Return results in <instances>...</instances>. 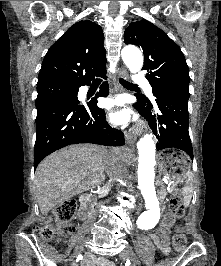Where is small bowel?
Wrapping results in <instances>:
<instances>
[{
    "label": "small bowel",
    "mask_w": 221,
    "mask_h": 266,
    "mask_svg": "<svg viewBox=\"0 0 221 266\" xmlns=\"http://www.w3.org/2000/svg\"><path fill=\"white\" fill-rule=\"evenodd\" d=\"M177 231H181V228L178 227L177 228ZM151 239L155 242L157 248L160 250V252H162L163 254H167L169 252V247H168V244L167 242H160L157 235L155 234H152L151 236ZM86 266H115L114 263L107 259V258H89L87 261H86Z\"/></svg>",
    "instance_id": "1"
}]
</instances>
